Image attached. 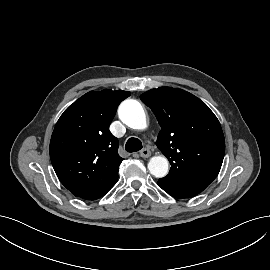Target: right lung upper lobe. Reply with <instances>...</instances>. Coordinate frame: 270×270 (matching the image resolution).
<instances>
[{"instance_id": "cb5924a9", "label": "right lung upper lobe", "mask_w": 270, "mask_h": 270, "mask_svg": "<svg viewBox=\"0 0 270 270\" xmlns=\"http://www.w3.org/2000/svg\"><path fill=\"white\" fill-rule=\"evenodd\" d=\"M128 91H90L59 118L50 141V159L60 182L75 196L97 192L118 179L119 142L108 130Z\"/></svg>"}]
</instances>
